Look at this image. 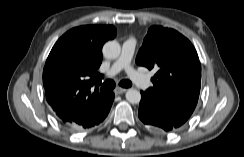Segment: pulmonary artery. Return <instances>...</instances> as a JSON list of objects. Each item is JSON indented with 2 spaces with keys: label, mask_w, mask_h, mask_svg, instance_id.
Wrapping results in <instances>:
<instances>
[{
  "label": "pulmonary artery",
  "mask_w": 244,
  "mask_h": 157,
  "mask_svg": "<svg viewBox=\"0 0 244 157\" xmlns=\"http://www.w3.org/2000/svg\"><path fill=\"white\" fill-rule=\"evenodd\" d=\"M136 48V40L129 38L122 44V51L119 58L113 63L111 68L106 72L107 78L113 77L121 70H125L131 80L140 88H147L150 86V80L142 73L136 71L131 66V60Z\"/></svg>",
  "instance_id": "1"
}]
</instances>
